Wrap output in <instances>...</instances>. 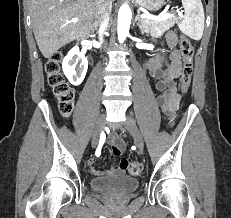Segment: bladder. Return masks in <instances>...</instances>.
Masks as SVG:
<instances>
[{
	"mask_svg": "<svg viewBox=\"0 0 231 218\" xmlns=\"http://www.w3.org/2000/svg\"><path fill=\"white\" fill-rule=\"evenodd\" d=\"M93 191L105 195L125 196L133 193L139 187V181L130 176H105L91 179Z\"/></svg>",
	"mask_w": 231,
	"mask_h": 218,
	"instance_id": "1",
	"label": "bladder"
}]
</instances>
